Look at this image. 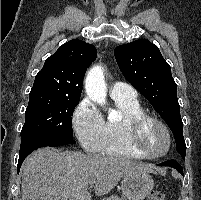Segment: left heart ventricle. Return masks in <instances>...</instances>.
<instances>
[{"label": "left heart ventricle", "mask_w": 201, "mask_h": 200, "mask_svg": "<svg viewBox=\"0 0 201 200\" xmlns=\"http://www.w3.org/2000/svg\"><path fill=\"white\" fill-rule=\"evenodd\" d=\"M141 145L149 154H160L167 146V140L163 130L154 123H147L140 135Z\"/></svg>", "instance_id": "b2bd125f"}]
</instances>
